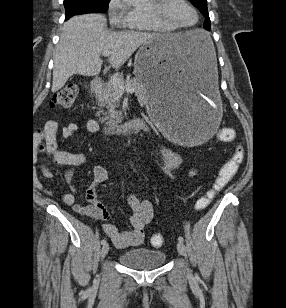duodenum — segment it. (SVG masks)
Masks as SVG:
<instances>
[{"label":"duodenum","instance_id":"1","mask_svg":"<svg viewBox=\"0 0 286 308\" xmlns=\"http://www.w3.org/2000/svg\"><path fill=\"white\" fill-rule=\"evenodd\" d=\"M103 85V81L101 78H95L91 85V90L93 92L98 91L101 89ZM146 127V123L142 119L138 120H128L121 123H114L106 125L104 131L107 135H120L126 133L130 130H139Z\"/></svg>","mask_w":286,"mask_h":308}]
</instances>
